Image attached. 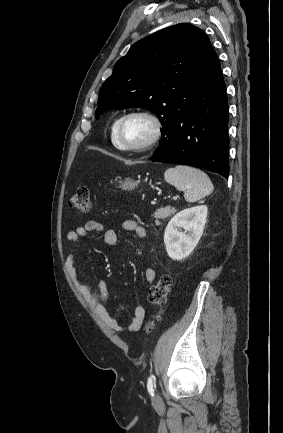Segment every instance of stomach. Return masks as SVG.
<instances>
[{"label":"stomach","instance_id":"stomach-1","mask_svg":"<svg viewBox=\"0 0 283 433\" xmlns=\"http://www.w3.org/2000/svg\"><path fill=\"white\" fill-rule=\"evenodd\" d=\"M137 184V180H132V178H126V180H122L119 188H123V190H133V188H136Z\"/></svg>","mask_w":283,"mask_h":433}]
</instances>
